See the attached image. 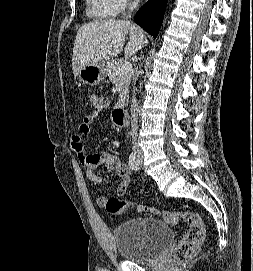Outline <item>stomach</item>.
Segmentation results:
<instances>
[{
	"mask_svg": "<svg viewBox=\"0 0 253 271\" xmlns=\"http://www.w3.org/2000/svg\"><path fill=\"white\" fill-rule=\"evenodd\" d=\"M106 75V68L102 63L87 65L78 73L79 80L83 84L89 85H97L103 82L106 79Z\"/></svg>",
	"mask_w": 253,
	"mask_h": 271,
	"instance_id": "obj_1",
	"label": "stomach"
}]
</instances>
